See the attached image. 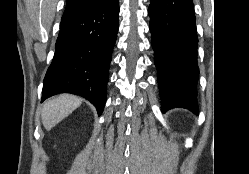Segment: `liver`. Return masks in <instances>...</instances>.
<instances>
[{"instance_id": "obj_1", "label": "liver", "mask_w": 249, "mask_h": 174, "mask_svg": "<svg viewBox=\"0 0 249 174\" xmlns=\"http://www.w3.org/2000/svg\"><path fill=\"white\" fill-rule=\"evenodd\" d=\"M81 103V98L70 94H61L53 99L47 100L41 112L42 123L45 129L47 131L51 130L77 109Z\"/></svg>"}]
</instances>
